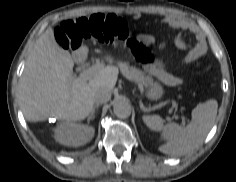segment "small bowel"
<instances>
[{
    "instance_id": "small-bowel-1",
    "label": "small bowel",
    "mask_w": 236,
    "mask_h": 182,
    "mask_svg": "<svg viewBox=\"0 0 236 182\" xmlns=\"http://www.w3.org/2000/svg\"><path fill=\"white\" fill-rule=\"evenodd\" d=\"M165 23L168 24L173 29L186 30L188 28V24L184 20H182L176 16L167 17L165 19ZM140 39L146 43H152L155 41L154 37L151 35H141ZM178 43L180 45L183 44V42L180 38H178ZM160 47L162 49H164L165 44L160 43ZM204 52H205V45L203 42H200L181 60V63L182 64L191 63V62L197 60L200 56H202ZM177 82L182 83V80L179 79V80H177Z\"/></svg>"
}]
</instances>
